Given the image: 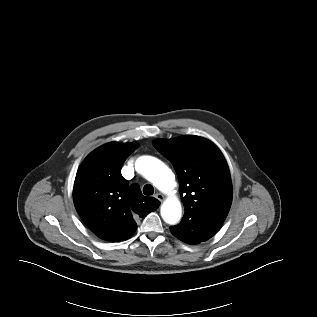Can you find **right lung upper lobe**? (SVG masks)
<instances>
[{
	"mask_svg": "<svg viewBox=\"0 0 317 317\" xmlns=\"http://www.w3.org/2000/svg\"><path fill=\"white\" fill-rule=\"evenodd\" d=\"M138 146L104 144L86 157L77 172L75 208L87 227L103 240L128 239L137 229L135 220L155 211L160 204L153 197L143 196L138 184L129 187L121 175L124 161Z\"/></svg>",
	"mask_w": 317,
	"mask_h": 317,
	"instance_id": "1",
	"label": "right lung upper lobe"
}]
</instances>
